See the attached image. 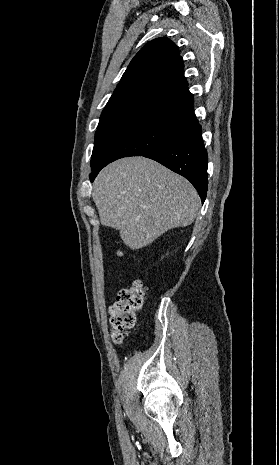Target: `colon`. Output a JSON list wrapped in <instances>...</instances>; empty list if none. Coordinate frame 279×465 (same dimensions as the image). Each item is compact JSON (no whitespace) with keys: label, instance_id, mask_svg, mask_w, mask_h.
I'll use <instances>...</instances> for the list:
<instances>
[{"label":"colon","instance_id":"1","mask_svg":"<svg viewBox=\"0 0 279 465\" xmlns=\"http://www.w3.org/2000/svg\"><path fill=\"white\" fill-rule=\"evenodd\" d=\"M118 255L121 253L118 251ZM147 287L141 281H135L119 291L116 301L110 307L112 339L116 344L123 340V333L132 329L136 323V314L143 308Z\"/></svg>","mask_w":279,"mask_h":465}]
</instances>
